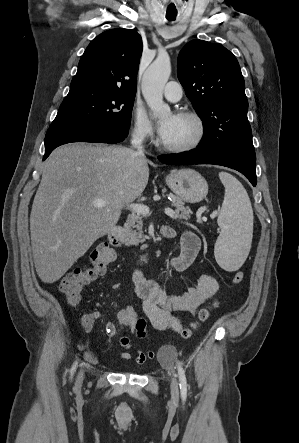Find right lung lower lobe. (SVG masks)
I'll return each mask as SVG.
<instances>
[{
	"label": "right lung lower lobe",
	"mask_w": 299,
	"mask_h": 443,
	"mask_svg": "<svg viewBox=\"0 0 299 443\" xmlns=\"http://www.w3.org/2000/svg\"><path fill=\"white\" fill-rule=\"evenodd\" d=\"M129 128L117 125L92 126L78 129H51L45 137V160L58 146L69 142H97L116 144L128 136Z\"/></svg>",
	"instance_id": "1"
}]
</instances>
